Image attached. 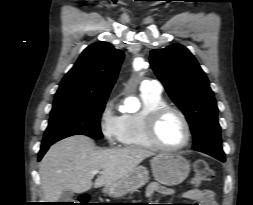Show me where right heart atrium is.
<instances>
[{
    "label": "right heart atrium",
    "mask_w": 253,
    "mask_h": 205,
    "mask_svg": "<svg viewBox=\"0 0 253 205\" xmlns=\"http://www.w3.org/2000/svg\"><path fill=\"white\" fill-rule=\"evenodd\" d=\"M122 117L116 112L115 100L105 103L99 117V128L105 140L114 145L120 140Z\"/></svg>",
    "instance_id": "right-heart-atrium-1"
}]
</instances>
